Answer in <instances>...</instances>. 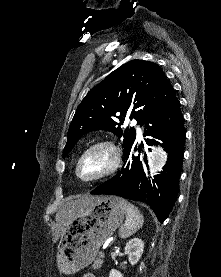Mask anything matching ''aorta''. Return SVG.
I'll use <instances>...</instances> for the list:
<instances>
[{
	"mask_svg": "<svg viewBox=\"0 0 221 277\" xmlns=\"http://www.w3.org/2000/svg\"><path fill=\"white\" fill-rule=\"evenodd\" d=\"M164 160H165V154H163V156H161V158L156 162V167L159 168L163 164Z\"/></svg>",
	"mask_w": 221,
	"mask_h": 277,
	"instance_id": "aorta-1",
	"label": "aorta"
}]
</instances>
